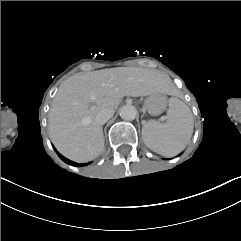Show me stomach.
Listing matches in <instances>:
<instances>
[{
  "instance_id": "1",
  "label": "stomach",
  "mask_w": 241,
  "mask_h": 241,
  "mask_svg": "<svg viewBox=\"0 0 241 241\" xmlns=\"http://www.w3.org/2000/svg\"><path fill=\"white\" fill-rule=\"evenodd\" d=\"M166 97L160 93L149 95L145 100V107L152 116L161 114L166 109Z\"/></svg>"
}]
</instances>
